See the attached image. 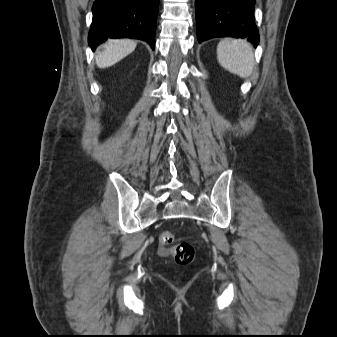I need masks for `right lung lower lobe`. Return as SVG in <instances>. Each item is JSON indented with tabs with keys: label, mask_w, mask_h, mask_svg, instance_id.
<instances>
[{
	"label": "right lung lower lobe",
	"mask_w": 337,
	"mask_h": 337,
	"mask_svg": "<svg viewBox=\"0 0 337 337\" xmlns=\"http://www.w3.org/2000/svg\"><path fill=\"white\" fill-rule=\"evenodd\" d=\"M159 0H96L88 42L92 50L109 38H136L155 48Z\"/></svg>",
	"instance_id": "right-lung-lower-lobe-1"
}]
</instances>
